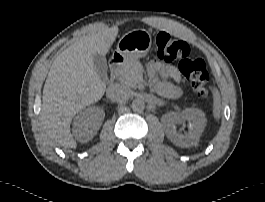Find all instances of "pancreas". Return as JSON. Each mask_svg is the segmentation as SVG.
<instances>
[{
  "mask_svg": "<svg viewBox=\"0 0 265 202\" xmlns=\"http://www.w3.org/2000/svg\"><path fill=\"white\" fill-rule=\"evenodd\" d=\"M143 67L138 60L126 61L118 70L119 80L130 87H135L141 80Z\"/></svg>",
  "mask_w": 265,
  "mask_h": 202,
  "instance_id": "1",
  "label": "pancreas"
}]
</instances>
